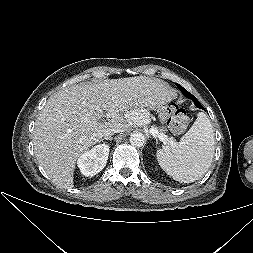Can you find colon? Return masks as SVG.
Returning <instances> with one entry per match:
<instances>
[{
    "label": "colon",
    "mask_w": 253,
    "mask_h": 253,
    "mask_svg": "<svg viewBox=\"0 0 253 253\" xmlns=\"http://www.w3.org/2000/svg\"><path fill=\"white\" fill-rule=\"evenodd\" d=\"M168 111L169 118L167 124L170 130L174 133H179L186 129L189 123V118L185 112L175 103L168 106Z\"/></svg>",
    "instance_id": "1"
}]
</instances>
